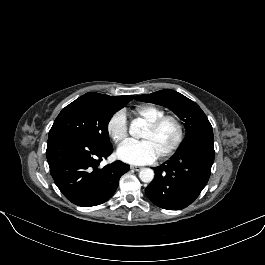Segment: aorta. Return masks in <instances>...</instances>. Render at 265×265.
<instances>
[{
    "mask_svg": "<svg viewBox=\"0 0 265 265\" xmlns=\"http://www.w3.org/2000/svg\"><path fill=\"white\" fill-rule=\"evenodd\" d=\"M140 131V124L136 121H133L130 124L129 133L132 136H136ZM139 178L142 182L149 183L154 178V171L150 168H142L139 172Z\"/></svg>",
    "mask_w": 265,
    "mask_h": 265,
    "instance_id": "1",
    "label": "aorta"
}]
</instances>
